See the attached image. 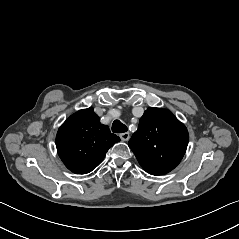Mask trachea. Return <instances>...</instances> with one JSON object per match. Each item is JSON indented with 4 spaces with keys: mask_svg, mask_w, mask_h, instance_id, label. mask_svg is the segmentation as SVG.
Returning a JSON list of instances; mask_svg holds the SVG:
<instances>
[{
    "mask_svg": "<svg viewBox=\"0 0 239 239\" xmlns=\"http://www.w3.org/2000/svg\"><path fill=\"white\" fill-rule=\"evenodd\" d=\"M128 128L119 120H115L112 124V132L114 133H124L127 132Z\"/></svg>",
    "mask_w": 239,
    "mask_h": 239,
    "instance_id": "trachea-1",
    "label": "trachea"
}]
</instances>
